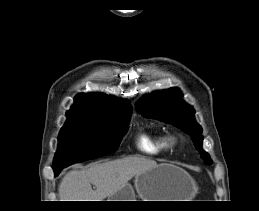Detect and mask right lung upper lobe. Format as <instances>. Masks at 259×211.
I'll return each mask as SVG.
<instances>
[{"label": "right lung upper lobe", "instance_id": "cb5924a9", "mask_svg": "<svg viewBox=\"0 0 259 211\" xmlns=\"http://www.w3.org/2000/svg\"><path fill=\"white\" fill-rule=\"evenodd\" d=\"M129 101H120L100 93H82L76 96L75 103L67 115L83 113L95 116L131 114Z\"/></svg>", "mask_w": 259, "mask_h": 211}]
</instances>
